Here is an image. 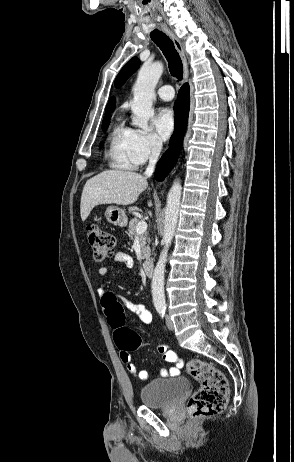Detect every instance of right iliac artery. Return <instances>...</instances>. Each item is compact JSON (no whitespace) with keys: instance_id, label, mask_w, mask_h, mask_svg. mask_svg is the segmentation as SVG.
<instances>
[{"instance_id":"right-iliac-artery-1","label":"right iliac artery","mask_w":294,"mask_h":462,"mask_svg":"<svg viewBox=\"0 0 294 462\" xmlns=\"http://www.w3.org/2000/svg\"><path fill=\"white\" fill-rule=\"evenodd\" d=\"M158 313H159L160 316L163 318V317H164V314H165V308L158 309Z\"/></svg>"}]
</instances>
